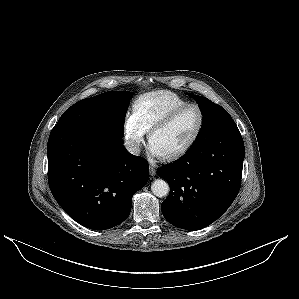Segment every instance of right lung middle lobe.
I'll list each match as a JSON object with an SVG mask.
<instances>
[{
    "label": "right lung middle lobe",
    "instance_id": "1",
    "mask_svg": "<svg viewBox=\"0 0 299 299\" xmlns=\"http://www.w3.org/2000/svg\"><path fill=\"white\" fill-rule=\"evenodd\" d=\"M132 97V92L109 91L83 99L68 108L57 124L96 128L122 138L126 110Z\"/></svg>",
    "mask_w": 299,
    "mask_h": 299
}]
</instances>
